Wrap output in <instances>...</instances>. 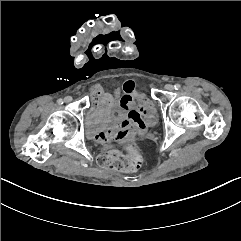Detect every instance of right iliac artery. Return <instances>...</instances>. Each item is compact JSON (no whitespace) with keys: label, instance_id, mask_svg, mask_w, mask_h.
Returning <instances> with one entry per match:
<instances>
[{"label":"right iliac artery","instance_id":"right-iliac-artery-1","mask_svg":"<svg viewBox=\"0 0 241 241\" xmlns=\"http://www.w3.org/2000/svg\"><path fill=\"white\" fill-rule=\"evenodd\" d=\"M57 103H58L59 105H62V104H63V100H62V99H58V100H57Z\"/></svg>","mask_w":241,"mask_h":241}]
</instances>
